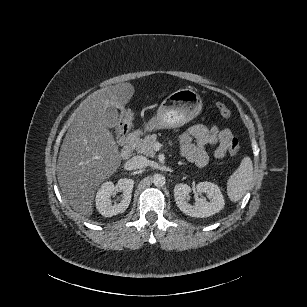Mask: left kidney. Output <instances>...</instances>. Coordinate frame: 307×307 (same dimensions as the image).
<instances>
[{"mask_svg":"<svg viewBox=\"0 0 307 307\" xmlns=\"http://www.w3.org/2000/svg\"><path fill=\"white\" fill-rule=\"evenodd\" d=\"M198 193H207L209 202L205 198H197L194 205L188 203L191 192L187 184H177L174 188V197L179 209L192 217H209L224 208L225 202L219 187L211 182H200L196 186Z\"/></svg>","mask_w":307,"mask_h":307,"instance_id":"1","label":"left kidney"}]
</instances>
